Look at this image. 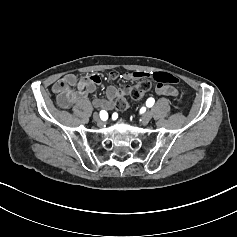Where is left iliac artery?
Returning <instances> with one entry per match:
<instances>
[{"label":"left iliac artery","mask_w":237,"mask_h":237,"mask_svg":"<svg viewBox=\"0 0 237 237\" xmlns=\"http://www.w3.org/2000/svg\"><path fill=\"white\" fill-rule=\"evenodd\" d=\"M155 100L153 98H148L146 101L147 107H152L154 105Z\"/></svg>","instance_id":"1"}]
</instances>
